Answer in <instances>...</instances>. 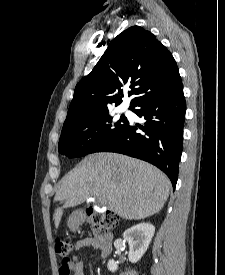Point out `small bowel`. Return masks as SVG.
Listing matches in <instances>:
<instances>
[{"mask_svg":"<svg viewBox=\"0 0 225 275\" xmlns=\"http://www.w3.org/2000/svg\"><path fill=\"white\" fill-rule=\"evenodd\" d=\"M87 247H92L93 249L99 250L98 240L93 237H86L78 240L75 243L76 252L73 253L69 258V261L72 264L74 275H82L83 266H82V261H81V256L79 254V251Z\"/></svg>","mask_w":225,"mask_h":275,"instance_id":"small-bowel-1","label":"small bowel"}]
</instances>
